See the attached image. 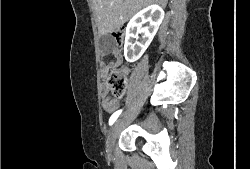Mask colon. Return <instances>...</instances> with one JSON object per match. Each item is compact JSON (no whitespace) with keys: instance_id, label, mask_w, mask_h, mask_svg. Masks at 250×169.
I'll return each instance as SVG.
<instances>
[{"instance_id":"colon-1","label":"colon","mask_w":250,"mask_h":169,"mask_svg":"<svg viewBox=\"0 0 250 169\" xmlns=\"http://www.w3.org/2000/svg\"><path fill=\"white\" fill-rule=\"evenodd\" d=\"M125 41L124 30H118L112 33V42L118 47H122ZM108 85L111 94L114 98L120 99L126 93L127 78L126 73L123 70H116L109 74Z\"/></svg>"}]
</instances>
